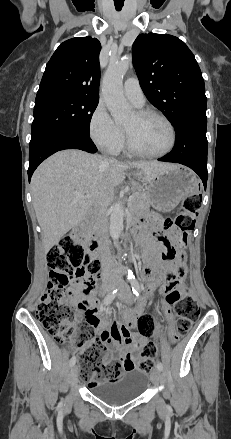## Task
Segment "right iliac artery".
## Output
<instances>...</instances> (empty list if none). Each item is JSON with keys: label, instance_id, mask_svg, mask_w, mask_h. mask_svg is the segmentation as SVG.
<instances>
[{"label": "right iliac artery", "instance_id": "obj_1", "mask_svg": "<svg viewBox=\"0 0 231 439\" xmlns=\"http://www.w3.org/2000/svg\"><path fill=\"white\" fill-rule=\"evenodd\" d=\"M117 291H118L117 289H116V290H113V291H111V292L105 297V299H104V304H105V305H108V304H110V303L113 301V299L115 298V296H116V294H117ZM75 363H76V357L73 356V357L70 359L69 364H70V366L72 367V366L75 365Z\"/></svg>", "mask_w": 231, "mask_h": 439}]
</instances>
